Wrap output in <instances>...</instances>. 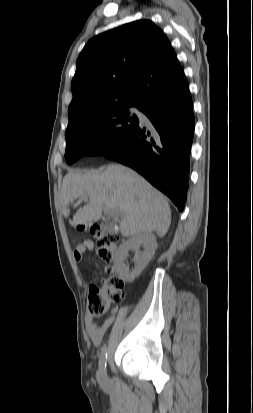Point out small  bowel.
<instances>
[{
  "label": "small bowel",
  "instance_id": "obj_1",
  "mask_svg": "<svg viewBox=\"0 0 253 413\" xmlns=\"http://www.w3.org/2000/svg\"><path fill=\"white\" fill-rule=\"evenodd\" d=\"M92 248L93 244L91 242L78 244L73 252L74 260L82 265L84 254L88 250H92ZM116 312L117 310L114 309L102 323H97L96 318L90 316L85 318L86 331L94 345H99L101 343L116 318Z\"/></svg>",
  "mask_w": 253,
  "mask_h": 413
}]
</instances>
